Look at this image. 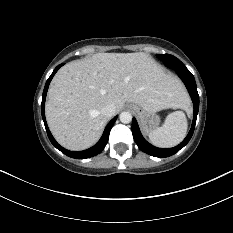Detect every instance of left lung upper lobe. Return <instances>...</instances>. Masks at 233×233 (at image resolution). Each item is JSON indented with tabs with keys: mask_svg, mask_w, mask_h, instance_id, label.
<instances>
[{
	"mask_svg": "<svg viewBox=\"0 0 233 233\" xmlns=\"http://www.w3.org/2000/svg\"><path fill=\"white\" fill-rule=\"evenodd\" d=\"M157 57L163 61V63L171 69L176 66L184 67V64L175 56L170 54H158Z\"/></svg>",
	"mask_w": 233,
	"mask_h": 233,
	"instance_id": "obj_1",
	"label": "left lung upper lobe"
}]
</instances>
